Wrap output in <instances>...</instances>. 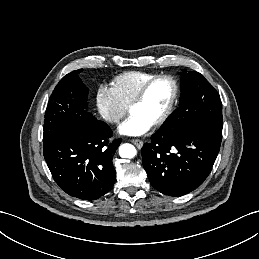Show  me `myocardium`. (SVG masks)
Here are the masks:
<instances>
[{
  "mask_svg": "<svg viewBox=\"0 0 259 259\" xmlns=\"http://www.w3.org/2000/svg\"><path fill=\"white\" fill-rule=\"evenodd\" d=\"M158 80H167L171 83L172 96H171V99L169 101V104H168L166 110L160 116V118L152 124V127L161 126L162 124H164L166 122V120L172 114L176 101H177V98H178V93H179L178 83H177L176 79L173 76L168 75V74L155 75L154 77H152L151 79H149L147 82H145L142 85V87L139 89V91L136 93V95L134 96V98L132 99V101L129 104V109L131 110V108L134 105L138 104L141 100H143V98L145 97L150 86Z\"/></svg>",
  "mask_w": 259,
  "mask_h": 259,
  "instance_id": "myocardium-1",
  "label": "myocardium"
}]
</instances>
